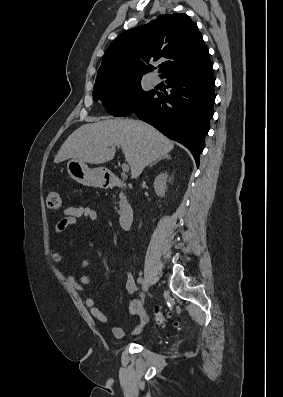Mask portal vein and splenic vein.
I'll return each instance as SVG.
<instances>
[{
	"label": "portal vein and splenic vein",
	"mask_w": 283,
	"mask_h": 397,
	"mask_svg": "<svg viewBox=\"0 0 283 397\" xmlns=\"http://www.w3.org/2000/svg\"><path fill=\"white\" fill-rule=\"evenodd\" d=\"M122 170H123L124 172H127V171L129 170V165L126 164V163H123V164H122Z\"/></svg>",
	"instance_id": "1"
}]
</instances>
